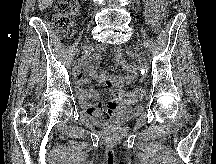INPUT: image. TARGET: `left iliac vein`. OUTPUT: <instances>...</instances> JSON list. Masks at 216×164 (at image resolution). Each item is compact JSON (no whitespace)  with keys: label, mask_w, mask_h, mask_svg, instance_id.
I'll use <instances>...</instances> for the list:
<instances>
[{"label":"left iliac vein","mask_w":216,"mask_h":164,"mask_svg":"<svg viewBox=\"0 0 216 164\" xmlns=\"http://www.w3.org/2000/svg\"><path fill=\"white\" fill-rule=\"evenodd\" d=\"M141 66H142V68L144 67L143 63H142V65H141Z\"/></svg>","instance_id":"left-iliac-vein-1"}]
</instances>
